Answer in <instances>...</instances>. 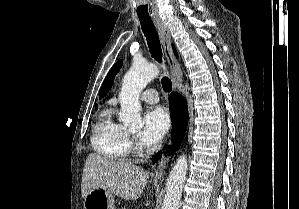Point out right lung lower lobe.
<instances>
[{"mask_svg":"<svg viewBox=\"0 0 299 209\" xmlns=\"http://www.w3.org/2000/svg\"><path fill=\"white\" fill-rule=\"evenodd\" d=\"M170 113L171 118L173 120V129H172V139L174 146L177 147V144L180 143V141L183 139L187 127L188 122V110H187V104L185 99L178 93L173 92L170 95ZM171 153L174 150L168 149ZM161 153H157L155 155V159H158L160 157Z\"/></svg>","mask_w":299,"mask_h":209,"instance_id":"obj_1","label":"right lung lower lobe"}]
</instances>
